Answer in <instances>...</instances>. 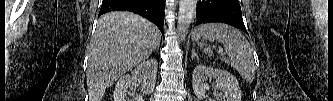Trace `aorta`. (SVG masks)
<instances>
[{
    "mask_svg": "<svg viewBox=\"0 0 333 101\" xmlns=\"http://www.w3.org/2000/svg\"><path fill=\"white\" fill-rule=\"evenodd\" d=\"M195 8L196 0H180L177 30L181 40H184L188 33Z\"/></svg>",
    "mask_w": 333,
    "mask_h": 101,
    "instance_id": "obj_1",
    "label": "aorta"
}]
</instances>
